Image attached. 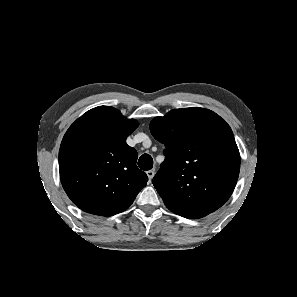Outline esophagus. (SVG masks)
Returning a JSON list of instances; mask_svg holds the SVG:
<instances>
[{"label": "esophagus", "instance_id": "obj_1", "mask_svg": "<svg viewBox=\"0 0 297 297\" xmlns=\"http://www.w3.org/2000/svg\"><path fill=\"white\" fill-rule=\"evenodd\" d=\"M146 173H147L149 180H151L154 177L155 171H154V169H152V170H148Z\"/></svg>", "mask_w": 297, "mask_h": 297}]
</instances>
